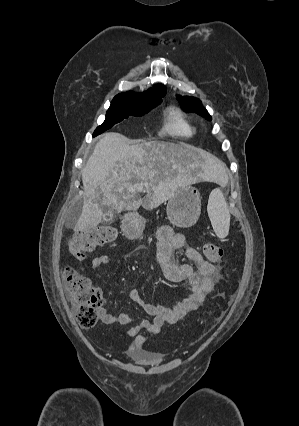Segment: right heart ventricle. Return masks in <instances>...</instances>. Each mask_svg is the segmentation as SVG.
Instances as JSON below:
<instances>
[{"label":"right heart ventricle","mask_w":299,"mask_h":426,"mask_svg":"<svg viewBox=\"0 0 299 426\" xmlns=\"http://www.w3.org/2000/svg\"><path fill=\"white\" fill-rule=\"evenodd\" d=\"M165 130L173 136L184 138L191 137L195 132V128L188 121L183 112L177 108H172L168 112Z\"/></svg>","instance_id":"obj_1"}]
</instances>
